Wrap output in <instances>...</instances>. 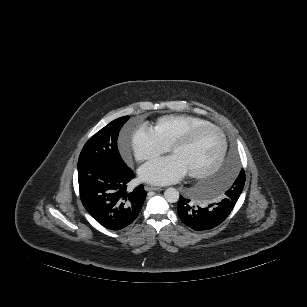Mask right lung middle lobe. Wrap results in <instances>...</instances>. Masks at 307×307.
Masks as SVG:
<instances>
[{"label": "right lung middle lobe", "instance_id": "right-lung-middle-lobe-1", "mask_svg": "<svg viewBox=\"0 0 307 307\" xmlns=\"http://www.w3.org/2000/svg\"><path fill=\"white\" fill-rule=\"evenodd\" d=\"M128 119L129 116L115 119L92 136L80 153L78 169L93 164L116 169L125 167L117 148V139L121 127Z\"/></svg>", "mask_w": 307, "mask_h": 307}]
</instances>
